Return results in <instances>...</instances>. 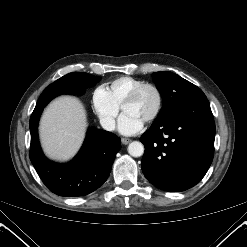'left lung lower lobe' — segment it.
Returning <instances> with one entry per match:
<instances>
[{
    "instance_id": "0a47b994",
    "label": "left lung lower lobe",
    "mask_w": 247,
    "mask_h": 247,
    "mask_svg": "<svg viewBox=\"0 0 247 247\" xmlns=\"http://www.w3.org/2000/svg\"><path fill=\"white\" fill-rule=\"evenodd\" d=\"M214 139L215 124L207 98L190 101L173 115L156 118L142 134V171L162 190H187L209 169Z\"/></svg>"
}]
</instances>
